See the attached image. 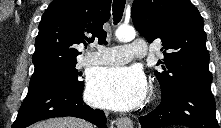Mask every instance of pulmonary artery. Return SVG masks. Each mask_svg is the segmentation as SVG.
<instances>
[{
    "label": "pulmonary artery",
    "instance_id": "e3ab8cb5",
    "mask_svg": "<svg viewBox=\"0 0 221 128\" xmlns=\"http://www.w3.org/2000/svg\"><path fill=\"white\" fill-rule=\"evenodd\" d=\"M148 53V45L144 40H136L121 46H98L97 51L88 53L85 65H114L126 63L137 57H144Z\"/></svg>",
    "mask_w": 221,
    "mask_h": 128
}]
</instances>
